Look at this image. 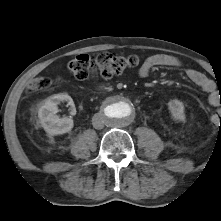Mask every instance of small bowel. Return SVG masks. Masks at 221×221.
Returning a JSON list of instances; mask_svg holds the SVG:
<instances>
[{"mask_svg": "<svg viewBox=\"0 0 221 221\" xmlns=\"http://www.w3.org/2000/svg\"><path fill=\"white\" fill-rule=\"evenodd\" d=\"M180 65V61L171 55L154 54L145 59L139 69V76L147 77L156 67L177 68ZM187 76L192 83L207 94V102L210 106L216 107L221 104V98L216 91V86L213 80L195 69H189L187 71Z\"/></svg>", "mask_w": 221, "mask_h": 221, "instance_id": "small-bowel-1", "label": "small bowel"}]
</instances>
